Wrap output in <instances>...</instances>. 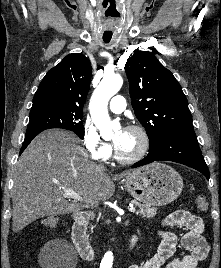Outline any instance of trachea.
Listing matches in <instances>:
<instances>
[{
    "label": "trachea",
    "mask_w": 221,
    "mask_h": 268,
    "mask_svg": "<svg viewBox=\"0 0 221 268\" xmlns=\"http://www.w3.org/2000/svg\"><path fill=\"white\" fill-rule=\"evenodd\" d=\"M110 40H104L105 43H108Z\"/></svg>",
    "instance_id": "trachea-1"
}]
</instances>
